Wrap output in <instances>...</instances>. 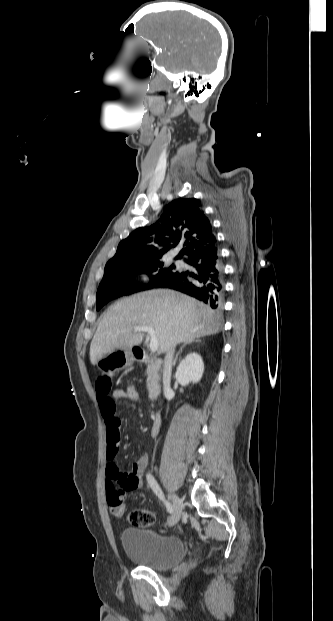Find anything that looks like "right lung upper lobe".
<instances>
[{"mask_svg":"<svg viewBox=\"0 0 333 621\" xmlns=\"http://www.w3.org/2000/svg\"><path fill=\"white\" fill-rule=\"evenodd\" d=\"M214 244L216 238L200 201L179 198L166 206L156 223L138 228L122 240L106 265L161 258L177 245L184 247L176 256L182 258Z\"/></svg>","mask_w":333,"mask_h":621,"instance_id":"obj_1","label":"right lung upper lobe"}]
</instances>
